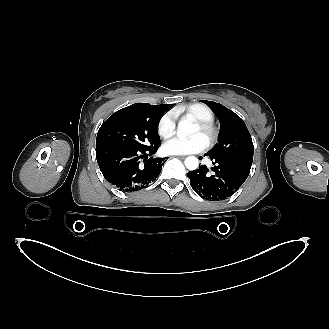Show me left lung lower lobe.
Returning a JSON list of instances; mask_svg holds the SVG:
<instances>
[{"label": "left lung lower lobe", "instance_id": "0a47b994", "mask_svg": "<svg viewBox=\"0 0 329 329\" xmlns=\"http://www.w3.org/2000/svg\"><path fill=\"white\" fill-rule=\"evenodd\" d=\"M210 156V155H209ZM215 165L208 174L205 165L189 171L188 178L193 190L202 198L210 201H221L232 196L247 179L251 165L241 161L212 157Z\"/></svg>", "mask_w": 329, "mask_h": 329}]
</instances>
